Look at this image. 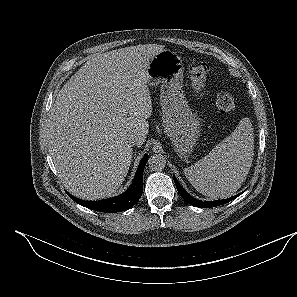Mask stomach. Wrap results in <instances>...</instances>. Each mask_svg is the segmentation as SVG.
Returning <instances> with one entry per match:
<instances>
[{
    "instance_id": "1",
    "label": "stomach",
    "mask_w": 297,
    "mask_h": 297,
    "mask_svg": "<svg viewBox=\"0 0 297 297\" xmlns=\"http://www.w3.org/2000/svg\"><path fill=\"white\" fill-rule=\"evenodd\" d=\"M184 64L175 52L163 49L150 61L147 79L150 86L160 85L163 127L174 150L187 159L200 136L199 121L183 93Z\"/></svg>"
}]
</instances>
